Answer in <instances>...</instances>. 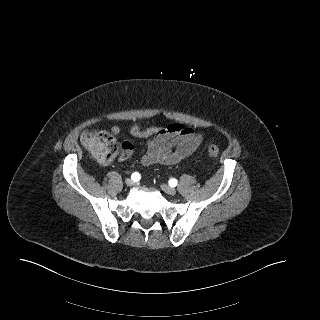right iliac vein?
<instances>
[{
	"mask_svg": "<svg viewBox=\"0 0 320 320\" xmlns=\"http://www.w3.org/2000/svg\"><path fill=\"white\" fill-rule=\"evenodd\" d=\"M125 182H126V184L128 186H133L134 185V181L131 178H127Z\"/></svg>",
	"mask_w": 320,
	"mask_h": 320,
	"instance_id": "obj_1",
	"label": "right iliac vein"
}]
</instances>
